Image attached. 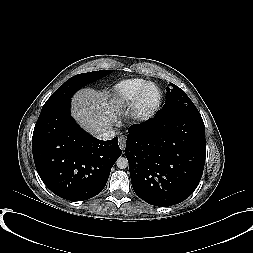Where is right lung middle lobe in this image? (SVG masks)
<instances>
[{"label":"right lung middle lobe","instance_id":"dd1d6c3e","mask_svg":"<svg viewBox=\"0 0 253 253\" xmlns=\"http://www.w3.org/2000/svg\"><path fill=\"white\" fill-rule=\"evenodd\" d=\"M109 70L93 71L83 74H78L67 80L43 105L41 112L56 108L71 101L72 96L82 86L98 80L103 76L109 74Z\"/></svg>","mask_w":253,"mask_h":253}]
</instances>
